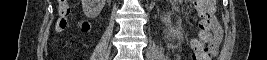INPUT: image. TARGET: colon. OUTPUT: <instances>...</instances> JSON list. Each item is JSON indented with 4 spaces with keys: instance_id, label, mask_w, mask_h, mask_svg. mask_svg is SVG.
<instances>
[{
    "instance_id": "1",
    "label": "colon",
    "mask_w": 267,
    "mask_h": 60,
    "mask_svg": "<svg viewBox=\"0 0 267 60\" xmlns=\"http://www.w3.org/2000/svg\"><path fill=\"white\" fill-rule=\"evenodd\" d=\"M196 10L199 16L200 31L197 37L191 41L193 47V59L196 60H208L211 58L212 53L202 35L209 29L213 22L216 0H197L195 1ZM71 8L69 2L66 0L59 1L58 13L59 18L55 23V29L57 31H64L68 27V16ZM85 27L88 28L90 25L85 23Z\"/></svg>"
}]
</instances>
